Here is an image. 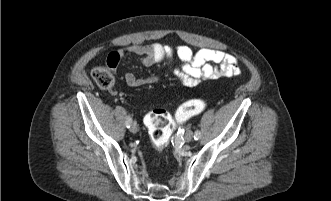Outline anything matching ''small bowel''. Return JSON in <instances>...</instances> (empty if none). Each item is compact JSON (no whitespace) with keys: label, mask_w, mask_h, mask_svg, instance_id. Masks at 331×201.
Wrapping results in <instances>:
<instances>
[{"label":"small bowel","mask_w":331,"mask_h":201,"mask_svg":"<svg viewBox=\"0 0 331 201\" xmlns=\"http://www.w3.org/2000/svg\"><path fill=\"white\" fill-rule=\"evenodd\" d=\"M130 57L138 58L144 66H152L166 60L171 63L178 59L179 67H171L172 73L179 81L189 87L196 86L205 80L229 78L240 74L236 58L223 50L203 48L193 52L187 46L175 48L160 43L135 44L122 48L117 53L118 60ZM114 65V64H113ZM157 75L137 77L131 72H126L125 81L131 87H140L158 82Z\"/></svg>","instance_id":"small-bowel-1"}]
</instances>
